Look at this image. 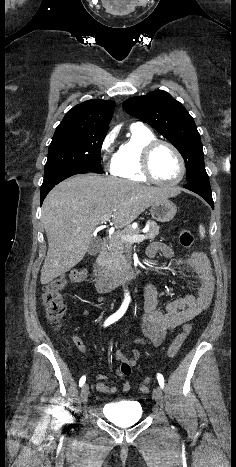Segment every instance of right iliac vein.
Listing matches in <instances>:
<instances>
[{
	"label": "right iliac vein",
	"instance_id": "1",
	"mask_svg": "<svg viewBox=\"0 0 236 467\" xmlns=\"http://www.w3.org/2000/svg\"><path fill=\"white\" fill-rule=\"evenodd\" d=\"M80 397H81V402L85 404L89 397V386L87 384L83 385L81 389Z\"/></svg>",
	"mask_w": 236,
	"mask_h": 467
}]
</instances>
